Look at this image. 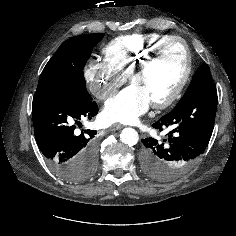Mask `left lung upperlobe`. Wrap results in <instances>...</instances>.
<instances>
[{
    "instance_id": "1",
    "label": "left lung upper lobe",
    "mask_w": 236,
    "mask_h": 236,
    "mask_svg": "<svg viewBox=\"0 0 236 236\" xmlns=\"http://www.w3.org/2000/svg\"><path fill=\"white\" fill-rule=\"evenodd\" d=\"M209 82H212V76L206 63H203L199 67V69H197V71L195 72V75L193 76L187 91L185 92L182 99L178 102V104L184 99H186L191 93H193L199 87Z\"/></svg>"
}]
</instances>
